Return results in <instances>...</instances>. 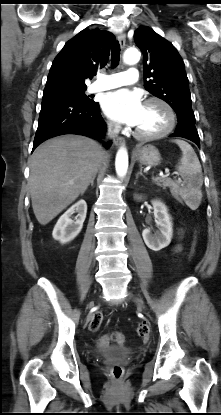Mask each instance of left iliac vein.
<instances>
[{"instance_id":"obj_1","label":"left iliac vein","mask_w":221,"mask_h":415,"mask_svg":"<svg viewBox=\"0 0 221 415\" xmlns=\"http://www.w3.org/2000/svg\"><path fill=\"white\" fill-rule=\"evenodd\" d=\"M134 300L141 309H144L143 302L140 299L134 297Z\"/></svg>"}]
</instances>
